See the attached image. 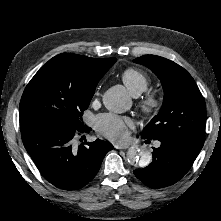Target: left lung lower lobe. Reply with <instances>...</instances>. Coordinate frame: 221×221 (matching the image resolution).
I'll use <instances>...</instances> for the list:
<instances>
[{
    "label": "left lung lower lobe",
    "instance_id": "obj_1",
    "mask_svg": "<svg viewBox=\"0 0 221 221\" xmlns=\"http://www.w3.org/2000/svg\"><path fill=\"white\" fill-rule=\"evenodd\" d=\"M160 142L159 148H153V161L145 168L134 170L135 176L150 188H163L179 181L199 154L178 143Z\"/></svg>",
    "mask_w": 221,
    "mask_h": 221
}]
</instances>
